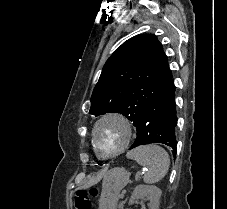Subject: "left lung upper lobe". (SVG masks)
I'll return each mask as SVG.
<instances>
[{
    "mask_svg": "<svg viewBox=\"0 0 227 209\" xmlns=\"http://www.w3.org/2000/svg\"><path fill=\"white\" fill-rule=\"evenodd\" d=\"M161 43L153 34L125 41L105 63L96 84L89 113H120L136 127L149 101L171 80Z\"/></svg>",
    "mask_w": 227,
    "mask_h": 209,
    "instance_id": "obj_1",
    "label": "left lung upper lobe"
}]
</instances>
